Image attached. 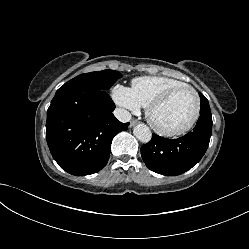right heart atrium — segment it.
I'll use <instances>...</instances> for the list:
<instances>
[{
  "label": "right heart atrium",
  "instance_id": "1",
  "mask_svg": "<svg viewBox=\"0 0 249 249\" xmlns=\"http://www.w3.org/2000/svg\"><path fill=\"white\" fill-rule=\"evenodd\" d=\"M113 99L118 106L131 112H137L141 108L132 90L124 85L118 84L113 88Z\"/></svg>",
  "mask_w": 249,
  "mask_h": 249
}]
</instances>
